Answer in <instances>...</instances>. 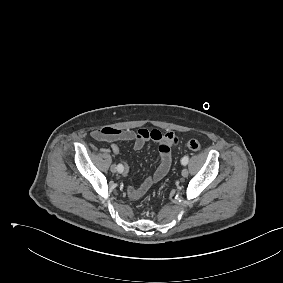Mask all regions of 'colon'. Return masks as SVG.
<instances>
[{
	"instance_id": "5ec220e1",
	"label": "colon",
	"mask_w": 283,
	"mask_h": 283,
	"mask_svg": "<svg viewBox=\"0 0 283 283\" xmlns=\"http://www.w3.org/2000/svg\"><path fill=\"white\" fill-rule=\"evenodd\" d=\"M187 147L193 151H199L201 149V144L196 139H190L186 143Z\"/></svg>"
}]
</instances>
